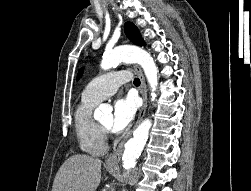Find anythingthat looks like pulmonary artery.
Returning a JSON list of instances; mask_svg holds the SVG:
<instances>
[{
	"label": "pulmonary artery",
	"instance_id": "e3ab8cb5",
	"mask_svg": "<svg viewBox=\"0 0 251 191\" xmlns=\"http://www.w3.org/2000/svg\"><path fill=\"white\" fill-rule=\"evenodd\" d=\"M128 71L130 72L131 70L129 69ZM131 76V73L126 71H113L101 75L88 84L82 96L98 101L106 99L113 95L120 85L128 82Z\"/></svg>",
	"mask_w": 251,
	"mask_h": 191
}]
</instances>
